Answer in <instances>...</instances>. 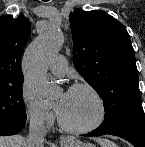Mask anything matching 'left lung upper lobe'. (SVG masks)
<instances>
[{"label": "left lung upper lobe", "instance_id": "1", "mask_svg": "<svg viewBox=\"0 0 145 147\" xmlns=\"http://www.w3.org/2000/svg\"><path fill=\"white\" fill-rule=\"evenodd\" d=\"M74 66L103 100L100 130L145 123L138 71L129 34L104 11L70 14Z\"/></svg>", "mask_w": 145, "mask_h": 147}]
</instances>
